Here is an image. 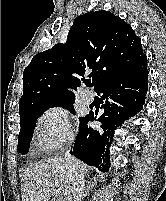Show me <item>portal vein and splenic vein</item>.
Segmentation results:
<instances>
[{
    "label": "portal vein and splenic vein",
    "mask_w": 166,
    "mask_h": 201,
    "mask_svg": "<svg viewBox=\"0 0 166 201\" xmlns=\"http://www.w3.org/2000/svg\"><path fill=\"white\" fill-rule=\"evenodd\" d=\"M53 196H58V193L56 191H49Z\"/></svg>",
    "instance_id": "18ae733b"
}]
</instances>
